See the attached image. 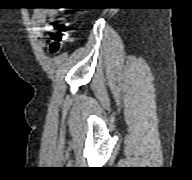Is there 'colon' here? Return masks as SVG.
<instances>
[{"mask_svg": "<svg viewBox=\"0 0 192 180\" xmlns=\"http://www.w3.org/2000/svg\"><path fill=\"white\" fill-rule=\"evenodd\" d=\"M71 31V25L68 21H60L55 24V31L51 35L50 43H49V51L52 54L59 53L65 41L69 37V33Z\"/></svg>", "mask_w": 192, "mask_h": 180, "instance_id": "5ec220e1", "label": "colon"}]
</instances>
